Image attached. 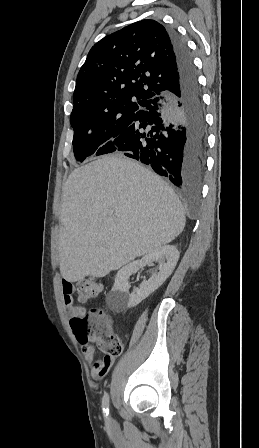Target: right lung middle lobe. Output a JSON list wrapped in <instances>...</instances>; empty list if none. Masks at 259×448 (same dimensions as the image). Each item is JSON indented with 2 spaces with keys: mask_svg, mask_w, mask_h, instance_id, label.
<instances>
[{
  "mask_svg": "<svg viewBox=\"0 0 259 448\" xmlns=\"http://www.w3.org/2000/svg\"><path fill=\"white\" fill-rule=\"evenodd\" d=\"M142 110V105H132L105 112H82L71 115L76 160L83 162L86 157L93 154L98 156L111 153L114 139Z\"/></svg>",
  "mask_w": 259,
  "mask_h": 448,
  "instance_id": "obj_1",
  "label": "right lung middle lobe"
}]
</instances>
